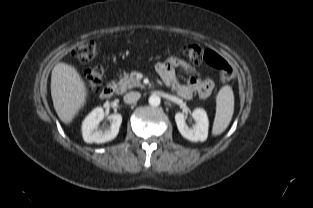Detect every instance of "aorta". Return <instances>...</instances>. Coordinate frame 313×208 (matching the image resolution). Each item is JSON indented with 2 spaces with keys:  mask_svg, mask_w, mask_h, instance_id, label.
<instances>
[{
  "mask_svg": "<svg viewBox=\"0 0 313 208\" xmlns=\"http://www.w3.org/2000/svg\"><path fill=\"white\" fill-rule=\"evenodd\" d=\"M161 99L158 95H151L149 97V104L151 106L157 107L160 105Z\"/></svg>",
  "mask_w": 313,
  "mask_h": 208,
  "instance_id": "762f6f07",
  "label": "aorta"
}]
</instances>
